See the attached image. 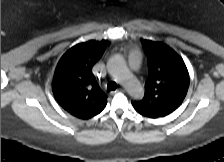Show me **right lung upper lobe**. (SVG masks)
<instances>
[{
  "mask_svg": "<svg viewBox=\"0 0 224 162\" xmlns=\"http://www.w3.org/2000/svg\"><path fill=\"white\" fill-rule=\"evenodd\" d=\"M107 44V40L77 44L61 57L56 67L54 96L66 111L80 119L99 114L107 104V96L92 73Z\"/></svg>",
  "mask_w": 224,
  "mask_h": 162,
  "instance_id": "cb5924a9",
  "label": "right lung upper lobe"
}]
</instances>
